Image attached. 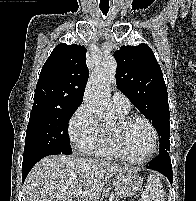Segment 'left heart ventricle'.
<instances>
[{"instance_id": "left-heart-ventricle-1", "label": "left heart ventricle", "mask_w": 196, "mask_h": 201, "mask_svg": "<svg viewBox=\"0 0 196 201\" xmlns=\"http://www.w3.org/2000/svg\"><path fill=\"white\" fill-rule=\"evenodd\" d=\"M124 143L131 156L142 158L151 150L152 133L145 123L136 121L125 129Z\"/></svg>"}]
</instances>
